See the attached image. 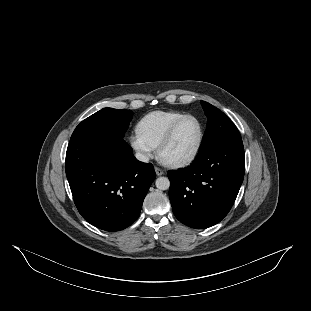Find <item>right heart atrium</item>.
<instances>
[{
    "label": "right heart atrium",
    "instance_id": "d8ad5b80",
    "mask_svg": "<svg viewBox=\"0 0 311 311\" xmlns=\"http://www.w3.org/2000/svg\"><path fill=\"white\" fill-rule=\"evenodd\" d=\"M129 145L137 158L142 162H148L154 157V149L141 141L136 135L130 136Z\"/></svg>",
    "mask_w": 311,
    "mask_h": 311
}]
</instances>
